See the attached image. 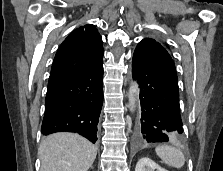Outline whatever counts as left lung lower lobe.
Segmentation results:
<instances>
[{
	"label": "left lung lower lobe",
	"mask_w": 223,
	"mask_h": 171,
	"mask_svg": "<svg viewBox=\"0 0 223 171\" xmlns=\"http://www.w3.org/2000/svg\"><path fill=\"white\" fill-rule=\"evenodd\" d=\"M132 73L139 85L141 106L136 143L145 145L180 139L183 124L178 79L170 54L160 44L141 41L134 51Z\"/></svg>",
	"instance_id": "left-lung-lower-lobe-1"
}]
</instances>
